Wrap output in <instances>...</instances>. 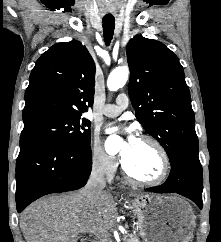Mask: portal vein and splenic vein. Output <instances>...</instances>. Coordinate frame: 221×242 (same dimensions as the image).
Instances as JSON below:
<instances>
[{"label": "portal vein and splenic vein", "instance_id": "obj_1", "mask_svg": "<svg viewBox=\"0 0 221 242\" xmlns=\"http://www.w3.org/2000/svg\"><path fill=\"white\" fill-rule=\"evenodd\" d=\"M92 233H95L96 235L104 236L106 231L101 229L99 231H91Z\"/></svg>", "mask_w": 221, "mask_h": 242}]
</instances>
